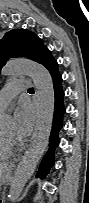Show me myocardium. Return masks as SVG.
Wrapping results in <instances>:
<instances>
[{
	"mask_svg": "<svg viewBox=\"0 0 89 203\" xmlns=\"http://www.w3.org/2000/svg\"><path fill=\"white\" fill-rule=\"evenodd\" d=\"M1 136H2L6 149L10 153H14L16 150H18L20 148V145L17 143V141L15 139H7L6 137H4L3 134Z\"/></svg>",
	"mask_w": 89,
	"mask_h": 203,
	"instance_id": "obj_1",
	"label": "myocardium"
}]
</instances>
